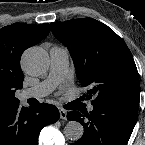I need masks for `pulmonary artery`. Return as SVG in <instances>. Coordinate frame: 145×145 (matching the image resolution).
I'll return each mask as SVG.
<instances>
[{
    "mask_svg": "<svg viewBox=\"0 0 145 145\" xmlns=\"http://www.w3.org/2000/svg\"><path fill=\"white\" fill-rule=\"evenodd\" d=\"M50 71L48 77L40 83L27 88L21 92L23 100L29 98H42L50 94L56 86L62 82L67 74L69 51L65 47L52 46L50 48ZM88 109L93 110V106L89 105Z\"/></svg>",
    "mask_w": 145,
    "mask_h": 145,
    "instance_id": "obj_1",
    "label": "pulmonary artery"
}]
</instances>
